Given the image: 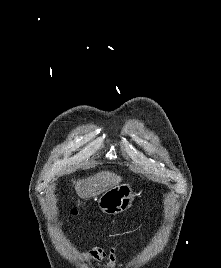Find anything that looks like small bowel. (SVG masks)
Returning <instances> with one entry per match:
<instances>
[{
	"instance_id": "small-bowel-1",
	"label": "small bowel",
	"mask_w": 221,
	"mask_h": 268,
	"mask_svg": "<svg viewBox=\"0 0 221 268\" xmlns=\"http://www.w3.org/2000/svg\"><path fill=\"white\" fill-rule=\"evenodd\" d=\"M117 249L118 245L104 249L99 246H94L85 251L83 255L94 261L97 268H114L117 265ZM104 259H107L105 264H100Z\"/></svg>"
}]
</instances>
